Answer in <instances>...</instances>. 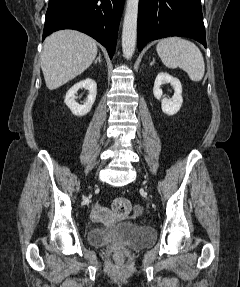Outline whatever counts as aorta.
Listing matches in <instances>:
<instances>
[{
  "mask_svg": "<svg viewBox=\"0 0 240 287\" xmlns=\"http://www.w3.org/2000/svg\"><path fill=\"white\" fill-rule=\"evenodd\" d=\"M139 0H127L122 30V50L126 59H131L137 38V17Z\"/></svg>",
  "mask_w": 240,
  "mask_h": 287,
  "instance_id": "obj_1",
  "label": "aorta"
}]
</instances>
